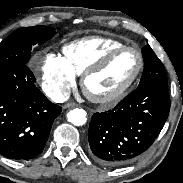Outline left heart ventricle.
<instances>
[{"instance_id": "left-heart-ventricle-1", "label": "left heart ventricle", "mask_w": 183, "mask_h": 183, "mask_svg": "<svg viewBox=\"0 0 183 183\" xmlns=\"http://www.w3.org/2000/svg\"><path fill=\"white\" fill-rule=\"evenodd\" d=\"M139 59L135 52L124 51L117 54L101 72L91 76L87 90L97 96L111 95L124 87L135 74Z\"/></svg>"}]
</instances>
